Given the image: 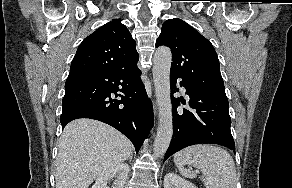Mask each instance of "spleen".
Returning <instances> with one entry per match:
<instances>
[{
    "label": "spleen",
    "mask_w": 292,
    "mask_h": 188,
    "mask_svg": "<svg viewBox=\"0 0 292 188\" xmlns=\"http://www.w3.org/2000/svg\"><path fill=\"white\" fill-rule=\"evenodd\" d=\"M174 162L180 173L188 178L196 173L185 169L193 165L203 173L206 188H236V168L231 155L216 145L198 144L189 146L174 155Z\"/></svg>",
    "instance_id": "3e777b00"
}]
</instances>
